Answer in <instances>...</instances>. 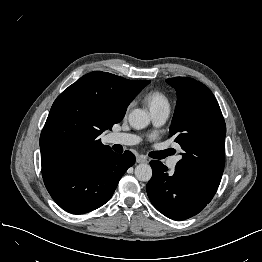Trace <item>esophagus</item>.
<instances>
[{
	"label": "esophagus",
	"mask_w": 262,
	"mask_h": 262,
	"mask_svg": "<svg viewBox=\"0 0 262 262\" xmlns=\"http://www.w3.org/2000/svg\"><path fill=\"white\" fill-rule=\"evenodd\" d=\"M136 162L137 163H147L148 160H147V157L144 156V155H137L136 156Z\"/></svg>",
	"instance_id": "obj_1"
}]
</instances>
